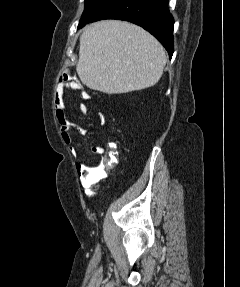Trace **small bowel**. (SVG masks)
Listing matches in <instances>:
<instances>
[{"instance_id":"c3829d8e","label":"small bowel","mask_w":240,"mask_h":287,"mask_svg":"<svg viewBox=\"0 0 240 287\" xmlns=\"http://www.w3.org/2000/svg\"><path fill=\"white\" fill-rule=\"evenodd\" d=\"M80 88V84L76 81H66L64 84H62L61 86L58 87L57 91L55 92V97H54V109H55V116L56 119L60 125V132H61V137L63 139V141L66 144L71 145L72 144V137L70 134V129L72 127H75L77 129V131L81 134V135H86L88 133V130L82 126H78L70 121H68L66 119L65 116V103H64V95L66 93L67 90L69 89H79ZM81 98L83 100H89L90 99V95L83 91L81 92ZM79 112L82 115H86L88 112V106L84 103L79 105ZM98 119H99V123L101 125L105 124V116L102 113H99L98 115ZM93 152L95 155H101L104 152V148L102 146H97L93 149Z\"/></svg>"}]
</instances>
